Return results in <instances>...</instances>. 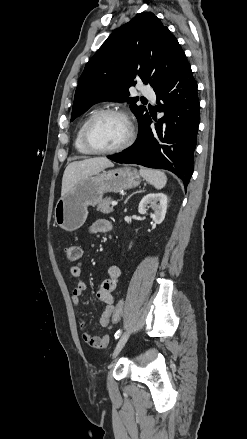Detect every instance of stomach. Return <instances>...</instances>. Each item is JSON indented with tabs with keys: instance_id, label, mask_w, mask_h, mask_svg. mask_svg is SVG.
Segmentation results:
<instances>
[{
	"instance_id": "obj_1",
	"label": "stomach",
	"mask_w": 247,
	"mask_h": 439,
	"mask_svg": "<svg viewBox=\"0 0 247 439\" xmlns=\"http://www.w3.org/2000/svg\"><path fill=\"white\" fill-rule=\"evenodd\" d=\"M140 182L138 171L129 166L103 169L84 178L57 201L54 209L55 223L65 231H75L86 221L88 206L98 204L105 193L134 188Z\"/></svg>"
}]
</instances>
